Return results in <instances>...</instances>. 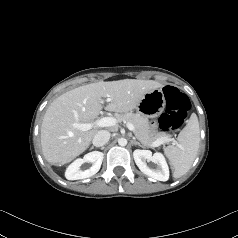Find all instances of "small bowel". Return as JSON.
Segmentation results:
<instances>
[{
    "label": "small bowel",
    "instance_id": "small-bowel-1",
    "mask_svg": "<svg viewBox=\"0 0 238 238\" xmlns=\"http://www.w3.org/2000/svg\"><path fill=\"white\" fill-rule=\"evenodd\" d=\"M148 125H149L151 128H156V127L159 125V120H158L156 117H151V118L148 120Z\"/></svg>",
    "mask_w": 238,
    "mask_h": 238
}]
</instances>
